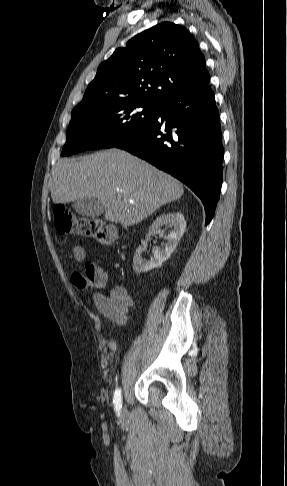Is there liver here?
Here are the masks:
<instances>
[{"label": "liver", "mask_w": 287, "mask_h": 486, "mask_svg": "<svg viewBox=\"0 0 287 486\" xmlns=\"http://www.w3.org/2000/svg\"><path fill=\"white\" fill-rule=\"evenodd\" d=\"M50 190L55 204L98 198L105 219L123 226L141 222L184 193L183 185L172 176L115 148L58 160Z\"/></svg>", "instance_id": "6515ba94"}]
</instances>
